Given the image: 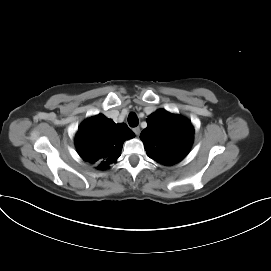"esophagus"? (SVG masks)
<instances>
[{
    "instance_id": "34e87169",
    "label": "esophagus",
    "mask_w": 271,
    "mask_h": 271,
    "mask_svg": "<svg viewBox=\"0 0 271 271\" xmlns=\"http://www.w3.org/2000/svg\"><path fill=\"white\" fill-rule=\"evenodd\" d=\"M133 131L137 136L140 134V128L139 127L133 128Z\"/></svg>"
}]
</instances>
